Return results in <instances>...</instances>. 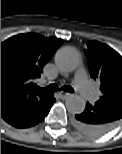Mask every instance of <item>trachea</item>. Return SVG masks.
Segmentation results:
<instances>
[{
	"mask_svg": "<svg viewBox=\"0 0 122 154\" xmlns=\"http://www.w3.org/2000/svg\"><path fill=\"white\" fill-rule=\"evenodd\" d=\"M42 90L54 92L58 90V86L56 84H51L45 88H42ZM62 90L70 92V93L74 92L73 88H71L70 86H63Z\"/></svg>",
	"mask_w": 122,
	"mask_h": 154,
	"instance_id": "trachea-1",
	"label": "trachea"
}]
</instances>
